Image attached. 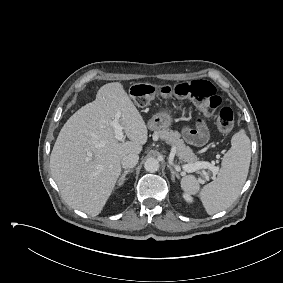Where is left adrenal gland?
Returning a JSON list of instances; mask_svg holds the SVG:
<instances>
[{
    "label": "left adrenal gland",
    "instance_id": "obj_1",
    "mask_svg": "<svg viewBox=\"0 0 283 283\" xmlns=\"http://www.w3.org/2000/svg\"><path fill=\"white\" fill-rule=\"evenodd\" d=\"M168 168H169V169H170V171H171V174H172V180H173V181H175V177H176L177 179H180L179 174H178V173H176L170 165H168Z\"/></svg>",
    "mask_w": 283,
    "mask_h": 283
}]
</instances>
